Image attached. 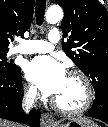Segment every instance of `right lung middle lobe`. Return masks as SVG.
Segmentation results:
<instances>
[{
  "mask_svg": "<svg viewBox=\"0 0 108 127\" xmlns=\"http://www.w3.org/2000/svg\"><path fill=\"white\" fill-rule=\"evenodd\" d=\"M7 52L8 50H0V71L7 74H13L20 68L17 65L13 64L11 61L10 63L7 62Z\"/></svg>",
  "mask_w": 108,
  "mask_h": 127,
  "instance_id": "right-lung-middle-lobe-1",
  "label": "right lung middle lobe"
}]
</instances>
